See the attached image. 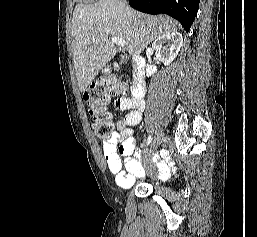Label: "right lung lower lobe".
Here are the masks:
<instances>
[{
    "label": "right lung lower lobe",
    "mask_w": 257,
    "mask_h": 237,
    "mask_svg": "<svg viewBox=\"0 0 257 237\" xmlns=\"http://www.w3.org/2000/svg\"><path fill=\"white\" fill-rule=\"evenodd\" d=\"M200 0H129L134 9L149 13H165L178 20L188 32L198 11Z\"/></svg>",
    "instance_id": "1"
}]
</instances>
